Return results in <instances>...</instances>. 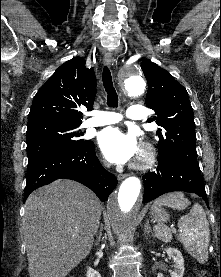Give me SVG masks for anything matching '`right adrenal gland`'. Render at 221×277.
Listing matches in <instances>:
<instances>
[{"label":"right adrenal gland","mask_w":221,"mask_h":277,"mask_svg":"<svg viewBox=\"0 0 221 277\" xmlns=\"http://www.w3.org/2000/svg\"><path fill=\"white\" fill-rule=\"evenodd\" d=\"M102 231H103V225H100V230H99V237L98 240H100L101 236H102Z\"/></svg>","instance_id":"2a0ac1e0"}]
</instances>
